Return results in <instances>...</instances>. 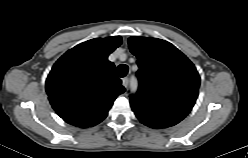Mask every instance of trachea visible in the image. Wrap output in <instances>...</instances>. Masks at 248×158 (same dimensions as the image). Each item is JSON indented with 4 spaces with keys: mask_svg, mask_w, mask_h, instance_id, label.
Instances as JSON below:
<instances>
[{
    "mask_svg": "<svg viewBox=\"0 0 248 158\" xmlns=\"http://www.w3.org/2000/svg\"><path fill=\"white\" fill-rule=\"evenodd\" d=\"M128 73V66L125 64H121L117 68V74L119 77H124Z\"/></svg>",
    "mask_w": 248,
    "mask_h": 158,
    "instance_id": "obj_1",
    "label": "trachea"
}]
</instances>
